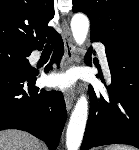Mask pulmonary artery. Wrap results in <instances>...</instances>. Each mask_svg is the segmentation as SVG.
Here are the masks:
<instances>
[{
  "label": "pulmonary artery",
  "mask_w": 139,
  "mask_h": 150,
  "mask_svg": "<svg viewBox=\"0 0 139 150\" xmlns=\"http://www.w3.org/2000/svg\"><path fill=\"white\" fill-rule=\"evenodd\" d=\"M94 48L97 50L99 58L101 60V63L103 65V68L106 73H109V66H108V61H107V56H106V51H105V46L102 43H94ZM39 54L35 53L34 58H38Z\"/></svg>",
  "instance_id": "1"
}]
</instances>
